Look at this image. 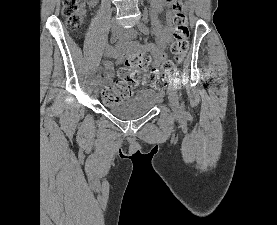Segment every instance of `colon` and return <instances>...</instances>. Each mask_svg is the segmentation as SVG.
I'll use <instances>...</instances> for the list:
<instances>
[{
  "label": "colon",
  "mask_w": 277,
  "mask_h": 225,
  "mask_svg": "<svg viewBox=\"0 0 277 225\" xmlns=\"http://www.w3.org/2000/svg\"><path fill=\"white\" fill-rule=\"evenodd\" d=\"M185 0H174L172 23L173 41L170 47L172 60L164 63L160 70L151 71V83L162 88L177 74V65L182 63L189 49V29L184 12ZM62 11L66 24L72 29L81 26L84 19V0H62ZM151 56L147 53H130L123 56V66L118 71V79L102 91L105 103H117L132 96L142 75L149 70Z\"/></svg>",
  "instance_id": "1"
}]
</instances>
